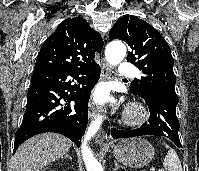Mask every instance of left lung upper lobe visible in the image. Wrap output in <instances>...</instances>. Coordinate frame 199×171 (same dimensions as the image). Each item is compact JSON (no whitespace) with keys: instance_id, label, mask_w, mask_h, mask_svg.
<instances>
[{"instance_id":"1","label":"left lung upper lobe","mask_w":199,"mask_h":171,"mask_svg":"<svg viewBox=\"0 0 199 171\" xmlns=\"http://www.w3.org/2000/svg\"><path fill=\"white\" fill-rule=\"evenodd\" d=\"M110 40L120 39L131 51L127 61L145 76L131 83V91L140 95H161L178 101L175 92L174 60L163 36L150 24L136 16L120 18L109 32Z\"/></svg>"}]
</instances>
